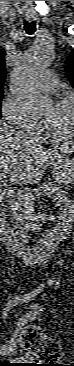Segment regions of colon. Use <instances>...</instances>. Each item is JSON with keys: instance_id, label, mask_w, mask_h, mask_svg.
<instances>
[{"instance_id": "obj_1", "label": "colon", "mask_w": 74, "mask_h": 366, "mask_svg": "<svg viewBox=\"0 0 74 366\" xmlns=\"http://www.w3.org/2000/svg\"><path fill=\"white\" fill-rule=\"evenodd\" d=\"M67 225L62 224L60 231L65 232ZM21 346L27 357L31 359L47 358L50 361L60 353L56 343L46 339L40 330L28 328L24 330L20 338Z\"/></svg>"}]
</instances>
